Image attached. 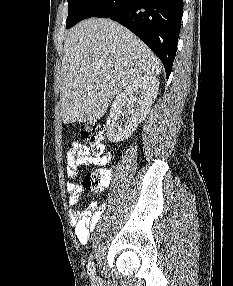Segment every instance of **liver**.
<instances>
[{
    "instance_id": "1",
    "label": "liver",
    "mask_w": 233,
    "mask_h": 286,
    "mask_svg": "<svg viewBox=\"0 0 233 286\" xmlns=\"http://www.w3.org/2000/svg\"><path fill=\"white\" fill-rule=\"evenodd\" d=\"M162 66L154 53L122 25L90 18L73 27L64 41L62 119L95 123L124 87Z\"/></svg>"
}]
</instances>
